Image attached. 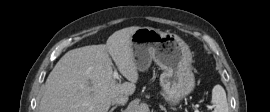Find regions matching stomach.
<instances>
[{
  "mask_svg": "<svg viewBox=\"0 0 270 112\" xmlns=\"http://www.w3.org/2000/svg\"><path fill=\"white\" fill-rule=\"evenodd\" d=\"M131 47L138 71L147 70L152 60L163 69L160 84L166 100L177 103L194 90L192 54L179 36L140 27L131 36Z\"/></svg>",
  "mask_w": 270,
  "mask_h": 112,
  "instance_id": "stomach-1",
  "label": "stomach"
}]
</instances>
